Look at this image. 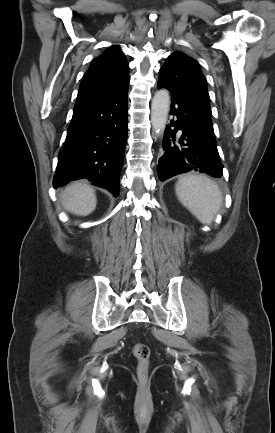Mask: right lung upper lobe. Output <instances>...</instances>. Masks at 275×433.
Masks as SVG:
<instances>
[{
    "label": "right lung upper lobe",
    "mask_w": 275,
    "mask_h": 433,
    "mask_svg": "<svg viewBox=\"0 0 275 433\" xmlns=\"http://www.w3.org/2000/svg\"><path fill=\"white\" fill-rule=\"evenodd\" d=\"M128 63L119 46H111L95 58L79 87L77 102L102 93H116L128 88Z\"/></svg>",
    "instance_id": "cb5924a9"
}]
</instances>
